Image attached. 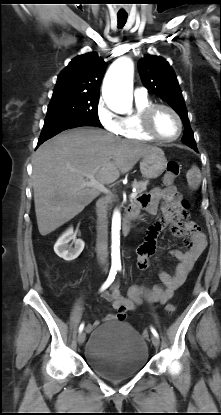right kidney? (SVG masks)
<instances>
[{"label": "right kidney", "instance_id": "ca27d5eb", "mask_svg": "<svg viewBox=\"0 0 221 415\" xmlns=\"http://www.w3.org/2000/svg\"><path fill=\"white\" fill-rule=\"evenodd\" d=\"M73 240L74 247L69 245V242ZM84 242L81 239H76L73 233V228H69L64 232L54 245L55 253L66 261H72L76 259L84 249Z\"/></svg>", "mask_w": 221, "mask_h": 415}]
</instances>
